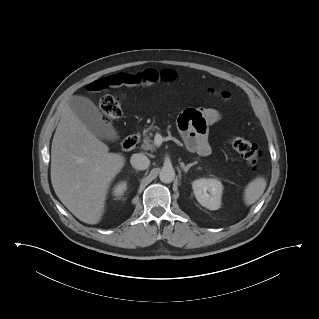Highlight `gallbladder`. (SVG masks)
Instances as JSON below:
<instances>
[{
  "mask_svg": "<svg viewBox=\"0 0 319 319\" xmlns=\"http://www.w3.org/2000/svg\"><path fill=\"white\" fill-rule=\"evenodd\" d=\"M68 105L95 136L108 141L118 140L119 137L114 127L103 119L100 110L90 99L83 96H72L68 100Z\"/></svg>",
  "mask_w": 319,
  "mask_h": 319,
  "instance_id": "obj_1",
  "label": "gallbladder"
}]
</instances>
